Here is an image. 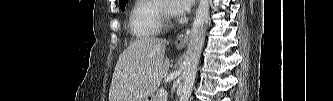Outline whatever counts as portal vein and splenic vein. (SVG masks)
I'll use <instances>...</instances> for the list:
<instances>
[{"instance_id": "portal-vein-and-splenic-vein-1", "label": "portal vein and splenic vein", "mask_w": 333, "mask_h": 101, "mask_svg": "<svg viewBox=\"0 0 333 101\" xmlns=\"http://www.w3.org/2000/svg\"><path fill=\"white\" fill-rule=\"evenodd\" d=\"M159 93H160L161 100L165 101L167 99V96H168L167 91L165 89H161Z\"/></svg>"}]
</instances>
